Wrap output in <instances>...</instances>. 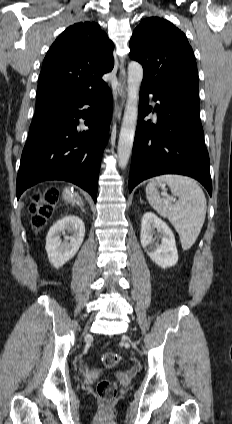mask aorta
Segmentation results:
<instances>
[{"mask_svg":"<svg viewBox=\"0 0 232 424\" xmlns=\"http://www.w3.org/2000/svg\"><path fill=\"white\" fill-rule=\"evenodd\" d=\"M143 79V68L137 62L128 65L127 79V101L118 141V163L125 167L132 153L137 114H138V92Z\"/></svg>","mask_w":232,"mask_h":424,"instance_id":"1","label":"aorta"}]
</instances>
